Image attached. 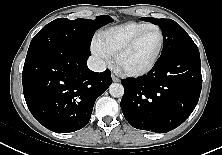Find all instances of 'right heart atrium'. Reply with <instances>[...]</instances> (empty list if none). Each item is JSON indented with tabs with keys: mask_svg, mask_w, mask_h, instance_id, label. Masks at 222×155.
Here are the masks:
<instances>
[{
	"mask_svg": "<svg viewBox=\"0 0 222 155\" xmlns=\"http://www.w3.org/2000/svg\"><path fill=\"white\" fill-rule=\"evenodd\" d=\"M91 49L93 54L101 61H107L110 57V54L102 48L97 39L93 40Z\"/></svg>",
	"mask_w": 222,
	"mask_h": 155,
	"instance_id": "d8ad5b80",
	"label": "right heart atrium"
}]
</instances>
